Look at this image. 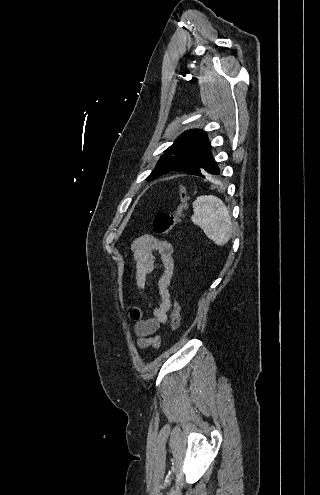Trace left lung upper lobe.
Returning <instances> with one entry per match:
<instances>
[{"label": "left lung upper lobe", "instance_id": "obj_1", "mask_svg": "<svg viewBox=\"0 0 320 495\" xmlns=\"http://www.w3.org/2000/svg\"><path fill=\"white\" fill-rule=\"evenodd\" d=\"M209 153L211 145L203 130L186 131L164 151V155L147 179L154 180L171 171L186 172L199 164Z\"/></svg>", "mask_w": 320, "mask_h": 495}]
</instances>
